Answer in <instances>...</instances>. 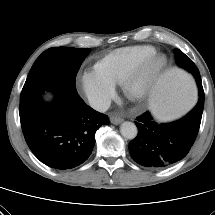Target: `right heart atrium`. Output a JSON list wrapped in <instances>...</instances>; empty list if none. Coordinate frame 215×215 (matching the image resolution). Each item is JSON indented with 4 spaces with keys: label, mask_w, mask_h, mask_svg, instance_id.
Wrapping results in <instances>:
<instances>
[{
    "label": "right heart atrium",
    "mask_w": 215,
    "mask_h": 215,
    "mask_svg": "<svg viewBox=\"0 0 215 215\" xmlns=\"http://www.w3.org/2000/svg\"><path fill=\"white\" fill-rule=\"evenodd\" d=\"M77 87L90 105L97 110L106 109L115 95V84L95 68L87 69L79 74Z\"/></svg>",
    "instance_id": "1"
}]
</instances>
